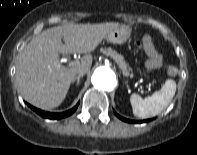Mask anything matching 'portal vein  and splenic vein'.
<instances>
[{
    "instance_id": "portal-vein-and-splenic-vein-1",
    "label": "portal vein and splenic vein",
    "mask_w": 197,
    "mask_h": 155,
    "mask_svg": "<svg viewBox=\"0 0 197 155\" xmlns=\"http://www.w3.org/2000/svg\"><path fill=\"white\" fill-rule=\"evenodd\" d=\"M79 61H73L71 63H69V66H75L78 65Z\"/></svg>"
}]
</instances>
